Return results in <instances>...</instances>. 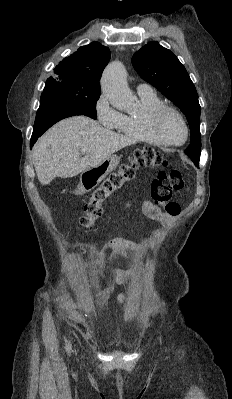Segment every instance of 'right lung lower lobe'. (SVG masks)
I'll use <instances>...</instances> for the list:
<instances>
[{
	"instance_id": "obj_1",
	"label": "right lung lower lobe",
	"mask_w": 232,
	"mask_h": 399,
	"mask_svg": "<svg viewBox=\"0 0 232 399\" xmlns=\"http://www.w3.org/2000/svg\"><path fill=\"white\" fill-rule=\"evenodd\" d=\"M75 115L87 116L75 106L58 101L40 100V107L36 114L30 148L32 149V146L37 139L56 122Z\"/></svg>"
}]
</instances>
